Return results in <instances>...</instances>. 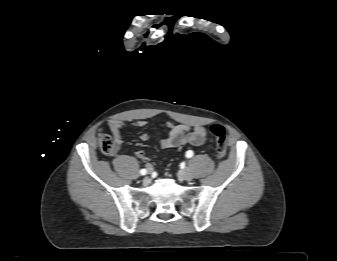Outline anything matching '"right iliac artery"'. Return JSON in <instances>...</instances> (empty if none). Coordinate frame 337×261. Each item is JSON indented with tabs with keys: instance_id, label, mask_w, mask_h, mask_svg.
I'll return each mask as SVG.
<instances>
[{
	"instance_id": "obj_1",
	"label": "right iliac artery",
	"mask_w": 337,
	"mask_h": 261,
	"mask_svg": "<svg viewBox=\"0 0 337 261\" xmlns=\"http://www.w3.org/2000/svg\"><path fill=\"white\" fill-rule=\"evenodd\" d=\"M146 173H147V170H146V169H141V170H140V174H141V175H145Z\"/></svg>"
}]
</instances>
